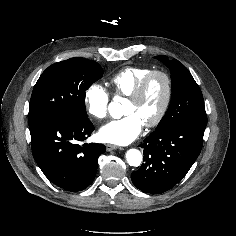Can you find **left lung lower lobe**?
<instances>
[{
    "mask_svg": "<svg viewBox=\"0 0 236 236\" xmlns=\"http://www.w3.org/2000/svg\"><path fill=\"white\" fill-rule=\"evenodd\" d=\"M205 126L178 124L155 130L140 145L144 163L131 174L145 193L160 194L174 187L199 156Z\"/></svg>",
    "mask_w": 236,
    "mask_h": 236,
    "instance_id": "obj_1",
    "label": "left lung lower lobe"
}]
</instances>
